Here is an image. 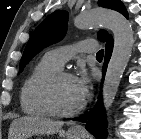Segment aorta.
I'll use <instances>...</instances> for the list:
<instances>
[{
	"mask_svg": "<svg viewBox=\"0 0 141 139\" xmlns=\"http://www.w3.org/2000/svg\"><path fill=\"white\" fill-rule=\"evenodd\" d=\"M100 24L111 30L114 37V48L103 84V105L106 114H109L122 75L131 57L134 39L130 22L118 12L94 10L74 18V25L83 30Z\"/></svg>",
	"mask_w": 141,
	"mask_h": 139,
	"instance_id": "1",
	"label": "aorta"
}]
</instances>
